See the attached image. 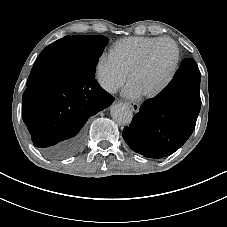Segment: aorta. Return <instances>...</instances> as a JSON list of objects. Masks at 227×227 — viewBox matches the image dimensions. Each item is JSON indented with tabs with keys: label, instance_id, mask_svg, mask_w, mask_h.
I'll return each mask as SVG.
<instances>
[{
	"label": "aorta",
	"instance_id": "1",
	"mask_svg": "<svg viewBox=\"0 0 227 227\" xmlns=\"http://www.w3.org/2000/svg\"><path fill=\"white\" fill-rule=\"evenodd\" d=\"M111 116L118 124H129L132 121L133 113L127 104L118 103L111 107Z\"/></svg>",
	"mask_w": 227,
	"mask_h": 227
}]
</instances>
